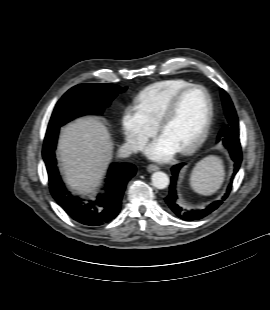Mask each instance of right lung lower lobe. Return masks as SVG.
<instances>
[{
  "label": "right lung lower lobe",
  "instance_id": "1",
  "mask_svg": "<svg viewBox=\"0 0 270 310\" xmlns=\"http://www.w3.org/2000/svg\"><path fill=\"white\" fill-rule=\"evenodd\" d=\"M60 126H48L43 146L49 189L56 202L75 221L89 226H99L117 216L127 182L135 175L136 167L130 163H113L108 171L105 194L96 201L85 203L73 196L61 180L55 160V148Z\"/></svg>",
  "mask_w": 270,
  "mask_h": 310
}]
</instances>
